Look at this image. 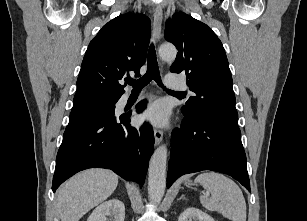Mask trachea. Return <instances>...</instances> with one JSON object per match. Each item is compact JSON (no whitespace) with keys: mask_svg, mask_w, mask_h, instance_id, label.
<instances>
[{"mask_svg":"<svg viewBox=\"0 0 307 221\" xmlns=\"http://www.w3.org/2000/svg\"><path fill=\"white\" fill-rule=\"evenodd\" d=\"M152 80L156 81L160 87H163L160 73H159L156 51H155V47L153 44L150 45L149 51H148L146 74L138 80L127 79L126 83L131 85L133 87V90H141L142 88L147 86ZM163 88L164 90L166 89L165 87ZM167 91L171 93H175V94H183L182 92L172 91L168 89Z\"/></svg>","mask_w":307,"mask_h":221,"instance_id":"obj_1","label":"trachea"}]
</instances>
